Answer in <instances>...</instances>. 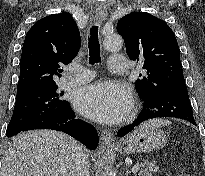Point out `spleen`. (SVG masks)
<instances>
[{
  "mask_svg": "<svg viewBox=\"0 0 205 176\" xmlns=\"http://www.w3.org/2000/svg\"><path fill=\"white\" fill-rule=\"evenodd\" d=\"M168 124H170L169 121H166V120H163V119H153V120H150V121L144 123L143 125L161 127L163 125H168Z\"/></svg>",
  "mask_w": 205,
  "mask_h": 176,
  "instance_id": "3e777b00",
  "label": "spleen"
}]
</instances>
